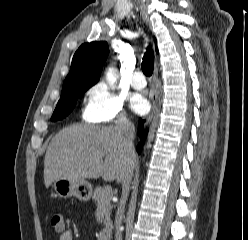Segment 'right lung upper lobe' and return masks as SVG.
I'll list each match as a JSON object with an SVG mask.
<instances>
[{
	"instance_id": "right-lung-upper-lobe-1",
	"label": "right lung upper lobe",
	"mask_w": 248,
	"mask_h": 240,
	"mask_svg": "<svg viewBox=\"0 0 248 240\" xmlns=\"http://www.w3.org/2000/svg\"><path fill=\"white\" fill-rule=\"evenodd\" d=\"M156 52L158 53L157 48ZM108 53V44L105 41L82 44L73 56L70 72L63 83V88L68 86L90 88L96 84Z\"/></svg>"
}]
</instances>
